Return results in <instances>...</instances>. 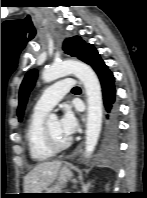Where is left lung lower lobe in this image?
Instances as JSON below:
<instances>
[{"label": "left lung lower lobe", "instance_id": "1", "mask_svg": "<svg viewBox=\"0 0 147 198\" xmlns=\"http://www.w3.org/2000/svg\"><path fill=\"white\" fill-rule=\"evenodd\" d=\"M84 62L89 64L97 73L103 93L104 106L107 111L106 153L114 157L118 152V108L115 103L114 76L97 50L91 45L84 57Z\"/></svg>", "mask_w": 147, "mask_h": 198}]
</instances>
